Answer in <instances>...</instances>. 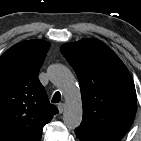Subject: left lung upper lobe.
I'll list each match as a JSON object with an SVG mask.
<instances>
[{
    "label": "left lung upper lobe",
    "instance_id": "1",
    "mask_svg": "<svg viewBox=\"0 0 141 141\" xmlns=\"http://www.w3.org/2000/svg\"><path fill=\"white\" fill-rule=\"evenodd\" d=\"M81 88L83 119L75 129L86 141H119L132 125L137 107L133 79L103 42L84 39L61 46Z\"/></svg>",
    "mask_w": 141,
    "mask_h": 141
}]
</instances>
